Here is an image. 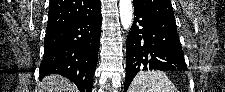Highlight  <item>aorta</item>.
Returning <instances> with one entry per match:
<instances>
[{"instance_id": "aorta-1", "label": "aorta", "mask_w": 225, "mask_h": 92, "mask_svg": "<svg viewBox=\"0 0 225 92\" xmlns=\"http://www.w3.org/2000/svg\"><path fill=\"white\" fill-rule=\"evenodd\" d=\"M120 20L123 28L129 30L133 22V4L131 0L119 1Z\"/></svg>"}]
</instances>
